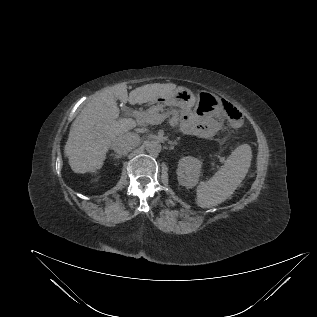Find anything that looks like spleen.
<instances>
[{
    "label": "spleen",
    "instance_id": "1",
    "mask_svg": "<svg viewBox=\"0 0 317 317\" xmlns=\"http://www.w3.org/2000/svg\"><path fill=\"white\" fill-rule=\"evenodd\" d=\"M251 159V147L247 144L238 146L211 179L197 186V205L210 208L228 199L245 178Z\"/></svg>",
    "mask_w": 317,
    "mask_h": 317
}]
</instances>
